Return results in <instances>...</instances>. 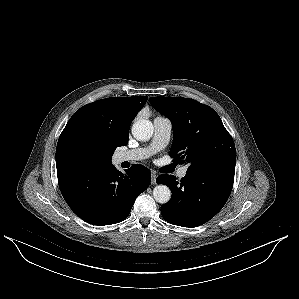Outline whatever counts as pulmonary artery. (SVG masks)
Listing matches in <instances>:
<instances>
[{"label": "pulmonary artery", "mask_w": 299, "mask_h": 299, "mask_svg": "<svg viewBox=\"0 0 299 299\" xmlns=\"http://www.w3.org/2000/svg\"><path fill=\"white\" fill-rule=\"evenodd\" d=\"M153 125L154 135L151 144L148 147L121 152L118 155V160L120 162L143 160L166 147L172 132L171 121L166 117L157 116L153 121ZM186 173L187 167H182L179 169L177 175L179 178H183Z\"/></svg>", "instance_id": "e3ab8cb5"}]
</instances>
